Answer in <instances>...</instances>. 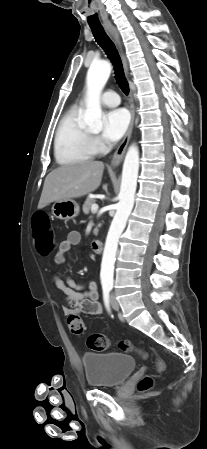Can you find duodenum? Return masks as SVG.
<instances>
[{"label": "duodenum", "instance_id": "obj_1", "mask_svg": "<svg viewBox=\"0 0 207 449\" xmlns=\"http://www.w3.org/2000/svg\"><path fill=\"white\" fill-rule=\"evenodd\" d=\"M91 247L93 252L100 254L103 250V242L101 239H93L91 241Z\"/></svg>", "mask_w": 207, "mask_h": 449}]
</instances>
